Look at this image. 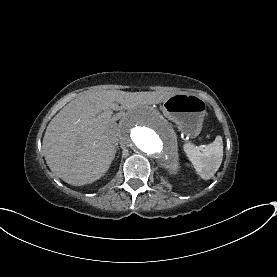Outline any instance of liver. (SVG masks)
<instances>
[{
    "mask_svg": "<svg viewBox=\"0 0 277 277\" xmlns=\"http://www.w3.org/2000/svg\"><path fill=\"white\" fill-rule=\"evenodd\" d=\"M171 93L121 90L86 91L64 106L50 121L43 138V153L50 170L72 186L101 179L109 170L122 140L113 110L133 111L159 104Z\"/></svg>",
    "mask_w": 277,
    "mask_h": 277,
    "instance_id": "obj_1",
    "label": "liver"
}]
</instances>
